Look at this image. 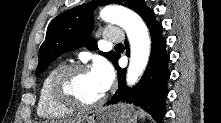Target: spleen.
I'll return each instance as SVG.
<instances>
[{
    "label": "spleen",
    "mask_w": 221,
    "mask_h": 123,
    "mask_svg": "<svg viewBox=\"0 0 221 123\" xmlns=\"http://www.w3.org/2000/svg\"><path fill=\"white\" fill-rule=\"evenodd\" d=\"M145 115H146V114H145L143 111H140V112H139L140 118H145Z\"/></svg>",
    "instance_id": "3e777b00"
}]
</instances>
